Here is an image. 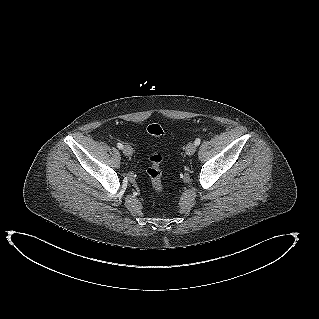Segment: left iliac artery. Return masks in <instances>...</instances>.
Returning <instances> with one entry per match:
<instances>
[{
	"label": "left iliac artery",
	"mask_w": 319,
	"mask_h": 319,
	"mask_svg": "<svg viewBox=\"0 0 319 319\" xmlns=\"http://www.w3.org/2000/svg\"><path fill=\"white\" fill-rule=\"evenodd\" d=\"M200 142H201V139H200V138H197V139L195 140V145L198 146V145L200 144Z\"/></svg>",
	"instance_id": "left-iliac-artery-1"
}]
</instances>
